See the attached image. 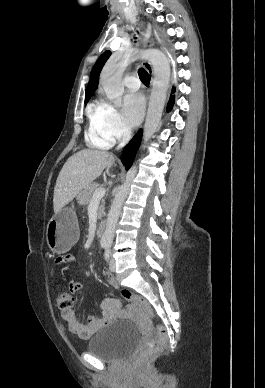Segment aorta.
<instances>
[{"mask_svg": "<svg viewBox=\"0 0 265 388\" xmlns=\"http://www.w3.org/2000/svg\"><path fill=\"white\" fill-rule=\"evenodd\" d=\"M138 56L140 58L147 59L152 64L154 71L152 91L143 132V140L144 143H146L158 128L169 88L171 70L168 58L159 50H144L141 51ZM131 58V53H114L101 72L102 87L108 99H110L115 105L121 104L124 92L121 78ZM136 172V166H132V168L127 172L125 181L120 186L111 204L107 217L106 228L101 238V245L104 247H110L113 243L114 233L122 204L128 195L130 185L136 175Z\"/></svg>", "mask_w": 265, "mask_h": 388, "instance_id": "762f6f07", "label": "aorta"}]
</instances>
